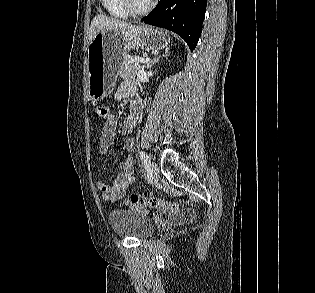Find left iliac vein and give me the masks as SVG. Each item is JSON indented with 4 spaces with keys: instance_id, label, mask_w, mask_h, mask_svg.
Returning a JSON list of instances; mask_svg holds the SVG:
<instances>
[{
    "instance_id": "obj_1",
    "label": "left iliac vein",
    "mask_w": 315,
    "mask_h": 293,
    "mask_svg": "<svg viewBox=\"0 0 315 293\" xmlns=\"http://www.w3.org/2000/svg\"><path fill=\"white\" fill-rule=\"evenodd\" d=\"M151 177L154 182L159 179V167L155 162H150Z\"/></svg>"
}]
</instances>
